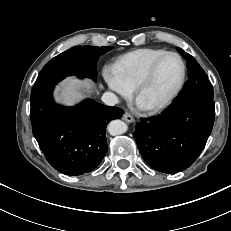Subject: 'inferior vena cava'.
<instances>
[{
	"mask_svg": "<svg viewBox=\"0 0 231 231\" xmlns=\"http://www.w3.org/2000/svg\"><path fill=\"white\" fill-rule=\"evenodd\" d=\"M101 99L108 106H114L118 103L117 96L112 92H105Z\"/></svg>",
	"mask_w": 231,
	"mask_h": 231,
	"instance_id": "inferior-vena-cava-1",
	"label": "inferior vena cava"
}]
</instances>
